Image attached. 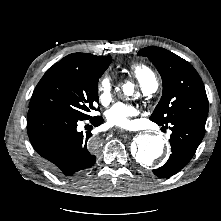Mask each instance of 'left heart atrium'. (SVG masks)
Returning <instances> with one entry per match:
<instances>
[{
    "mask_svg": "<svg viewBox=\"0 0 221 221\" xmlns=\"http://www.w3.org/2000/svg\"><path fill=\"white\" fill-rule=\"evenodd\" d=\"M138 110L130 104L116 103L106 112V121L109 126L129 128L132 125L131 118L136 116Z\"/></svg>",
    "mask_w": 221,
    "mask_h": 221,
    "instance_id": "left-heart-atrium-1",
    "label": "left heart atrium"
}]
</instances>
